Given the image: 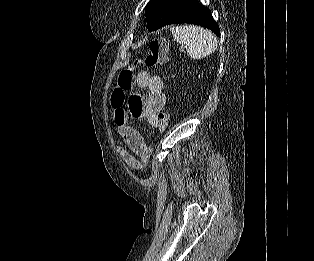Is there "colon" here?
Masks as SVG:
<instances>
[{"mask_svg": "<svg viewBox=\"0 0 314 261\" xmlns=\"http://www.w3.org/2000/svg\"><path fill=\"white\" fill-rule=\"evenodd\" d=\"M168 60V44L165 39L156 38L149 43V51L143 62L148 67L163 65ZM140 62V61H138ZM135 84V74L132 68L123 69L117 79L112 98L115 102L125 101L127 93ZM169 124L168 114L159 113V124L157 129L160 133L164 132Z\"/></svg>", "mask_w": 314, "mask_h": 261, "instance_id": "colon-1", "label": "colon"}]
</instances>
